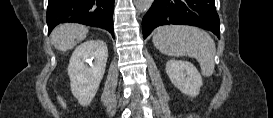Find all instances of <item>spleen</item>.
<instances>
[{
    "mask_svg": "<svg viewBox=\"0 0 273 118\" xmlns=\"http://www.w3.org/2000/svg\"><path fill=\"white\" fill-rule=\"evenodd\" d=\"M153 44L168 56L195 58L205 76L214 72V40L203 30L188 26H165L156 30Z\"/></svg>",
    "mask_w": 273,
    "mask_h": 118,
    "instance_id": "1",
    "label": "spleen"
}]
</instances>
